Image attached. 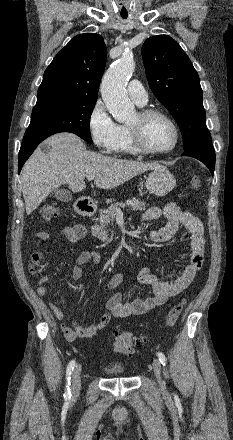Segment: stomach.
<instances>
[{"label": "stomach", "instance_id": "1", "mask_svg": "<svg viewBox=\"0 0 233 440\" xmlns=\"http://www.w3.org/2000/svg\"><path fill=\"white\" fill-rule=\"evenodd\" d=\"M176 185V179L165 167L154 169L147 176L145 186L156 196H165Z\"/></svg>", "mask_w": 233, "mask_h": 440}]
</instances>
